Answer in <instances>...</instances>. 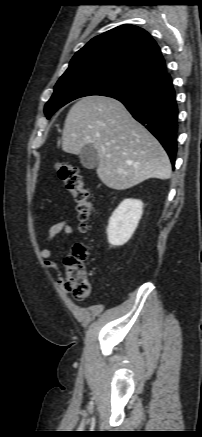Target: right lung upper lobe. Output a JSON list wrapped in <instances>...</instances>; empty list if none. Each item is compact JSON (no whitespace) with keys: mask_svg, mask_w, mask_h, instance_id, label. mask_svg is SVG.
<instances>
[{"mask_svg":"<svg viewBox=\"0 0 202 437\" xmlns=\"http://www.w3.org/2000/svg\"><path fill=\"white\" fill-rule=\"evenodd\" d=\"M113 71L151 83L166 73L165 61L154 39L142 28L124 24L91 39L68 69Z\"/></svg>","mask_w":202,"mask_h":437,"instance_id":"cb5924a9","label":"right lung upper lobe"}]
</instances>
